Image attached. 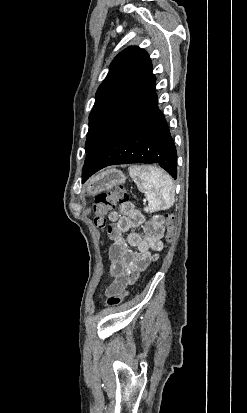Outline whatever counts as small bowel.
<instances>
[{"label": "small bowel", "mask_w": 247, "mask_h": 413, "mask_svg": "<svg viewBox=\"0 0 247 413\" xmlns=\"http://www.w3.org/2000/svg\"><path fill=\"white\" fill-rule=\"evenodd\" d=\"M112 225L108 235L112 241L109 249V274L114 279L124 276L126 280H114L108 286L106 297L119 299L129 284L137 280L156 259L155 252L163 248V219L153 218L145 223L144 215L132 203L120 204L117 210L109 213ZM139 229H143L140 232ZM127 233L126 239L123 234ZM131 248H134L132 250Z\"/></svg>", "instance_id": "small-bowel-1"}]
</instances>
